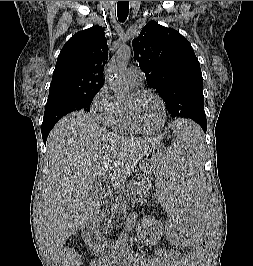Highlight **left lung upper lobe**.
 Listing matches in <instances>:
<instances>
[{
	"mask_svg": "<svg viewBox=\"0 0 253 266\" xmlns=\"http://www.w3.org/2000/svg\"><path fill=\"white\" fill-rule=\"evenodd\" d=\"M132 45L148 85L161 95L172 117L207 127L203 78L190 42L178 31L149 21Z\"/></svg>",
	"mask_w": 253,
	"mask_h": 266,
	"instance_id": "left-lung-upper-lobe-1",
	"label": "left lung upper lobe"
}]
</instances>
